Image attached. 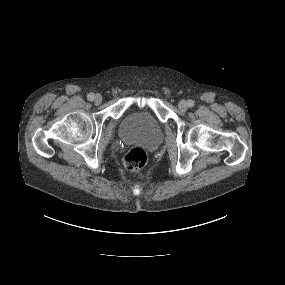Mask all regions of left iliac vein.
I'll list each match as a JSON object with an SVG mask.
<instances>
[{"label":"left iliac vein","instance_id":"4c4485c4","mask_svg":"<svg viewBox=\"0 0 285 285\" xmlns=\"http://www.w3.org/2000/svg\"><path fill=\"white\" fill-rule=\"evenodd\" d=\"M178 108L181 110V111H186L187 108H188V104L185 100H181L179 103H178Z\"/></svg>","mask_w":285,"mask_h":285}]
</instances>
